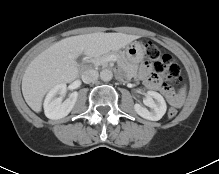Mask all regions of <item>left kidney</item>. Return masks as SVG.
Listing matches in <instances>:
<instances>
[{"label": "left kidney", "mask_w": 219, "mask_h": 174, "mask_svg": "<svg viewBox=\"0 0 219 174\" xmlns=\"http://www.w3.org/2000/svg\"><path fill=\"white\" fill-rule=\"evenodd\" d=\"M143 103L147 107H149L150 110H148L146 107L141 106L140 104H135L134 109L136 113L144 119L158 121L166 113V102L163 96L158 92L147 91L146 98L143 100Z\"/></svg>", "instance_id": "obj_1"}]
</instances>
